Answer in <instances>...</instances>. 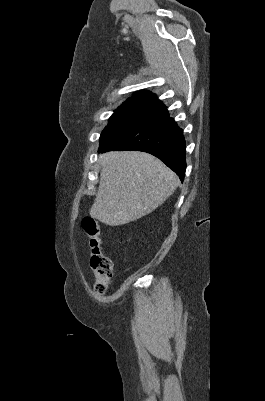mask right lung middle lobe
<instances>
[{
	"instance_id": "right-lung-middle-lobe-1",
	"label": "right lung middle lobe",
	"mask_w": 265,
	"mask_h": 401,
	"mask_svg": "<svg viewBox=\"0 0 265 401\" xmlns=\"http://www.w3.org/2000/svg\"><path fill=\"white\" fill-rule=\"evenodd\" d=\"M163 108L150 104L121 105L110 117L100 136V144L107 143L123 130L160 112Z\"/></svg>"
}]
</instances>
